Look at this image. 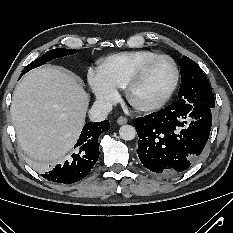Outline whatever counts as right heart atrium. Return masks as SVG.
<instances>
[{
    "label": "right heart atrium",
    "mask_w": 233,
    "mask_h": 233,
    "mask_svg": "<svg viewBox=\"0 0 233 233\" xmlns=\"http://www.w3.org/2000/svg\"><path fill=\"white\" fill-rule=\"evenodd\" d=\"M87 78L90 89L99 103L110 105L116 100L117 88L105 79L100 68H90Z\"/></svg>",
    "instance_id": "obj_1"
}]
</instances>
